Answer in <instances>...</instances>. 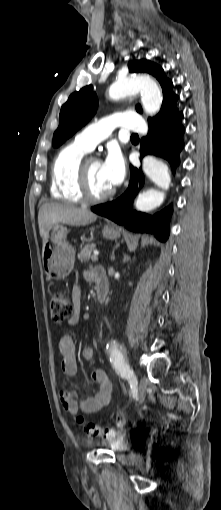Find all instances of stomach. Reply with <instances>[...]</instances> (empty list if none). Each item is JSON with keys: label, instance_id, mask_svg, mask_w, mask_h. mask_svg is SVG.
Here are the masks:
<instances>
[{"label": "stomach", "instance_id": "1", "mask_svg": "<svg viewBox=\"0 0 221 510\" xmlns=\"http://www.w3.org/2000/svg\"><path fill=\"white\" fill-rule=\"evenodd\" d=\"M102 232L107 239L114 240L120 237V231L114 225H105ZM67 234V227L54 224L43 238V266L52 280L66 278L74 268L75 249L66 241Z\"/></svg>", "mask_w": 221, "mask_h": 510}]
</instances>
